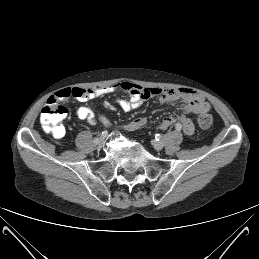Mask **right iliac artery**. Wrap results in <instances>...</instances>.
<instances>
[{
  "mask_svg": "<svg viewBox=\"0 0 259 259\" xmlns=\"http://www.w3.org/2000/svg\"><path fill=\"white\" fill-rule=\"evenodd\" d=\"M92 140H93V142H95V143H96V142H98V140H99V139H98V137H96V136H95V137H93V139H92Z\"/></svg>",
  "mask_w": 259,
  "mask_h": 259,
  "instance_id": "right-iliac-artery-1",
  "label": "right iliac artery"
}]
</instances>
